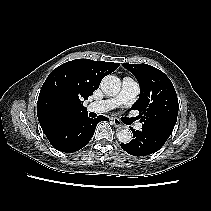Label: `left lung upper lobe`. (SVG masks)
Segmentation results:
<instances>
[{
  "label": "left lung upper lobe",
  "mask_w": 211,
  "mask_h": 211,
  "mask_svg": "<svg viewBox=\"0 0 211 211\" xmlns=\"http://www.w3.org/2000/svg\"><path fill=\"white\" fill-rule=\"evenodd\" d=\"M123 66L140 85V97L132 109L140 113L142 130L166 142L174 129L179 110L171 80L162 71L147 64L125 63Z\"/></svg>",
  "instance_id": "5c2ea615"
}]
</instances>
